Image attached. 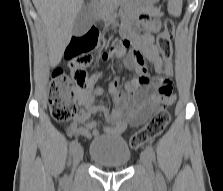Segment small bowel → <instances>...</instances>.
I'll use <instances>...</instances> for the list:
<instances>
[{
    "instance_id": "small-bowel-1",
    "label": "small bowel",
    "mask_w": 223,
    "mask_h": 191,
    "mask_svg": "<svg viewBox=\"0 0 223 191\" xmlns=\"http://www.w3.org/2000/svg\"><path fill=\"white\" fill-rule=\"evenodd\" d=\"M144 10L147 15L140 18L141 33L133 31L127 23L121 27L122 36L134 47L133 52L126 60V66L135 72L136 77L127 82L126 93L121 91L119 80L114 79L109 83L107 91L112 97V110L96 102V98L103 95L106 89L96 87L78 93L77 99L81 110L67 127L69 135L91 138L103 134H120L128 124L139 126L148 119L155 109L171 105L175 101L176 96L169 78H162L161 75L156 76L153 80L156 90L150 93L143 90L148 84H139L138 76L141 74L142 68L138 56L153 62L156 70L160 73H163L160 63L165 62L155 44L156 33L161 28L160 12L151 3H148ZM109 58L108 53H103V60ZM94 114L101 115L108 125L101 128L99 121L89 120L90 116Z\"/></svg>"
}]
</instances>
